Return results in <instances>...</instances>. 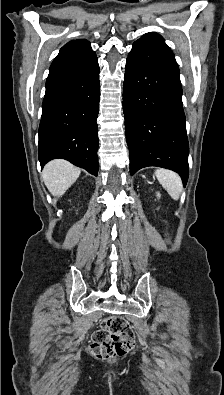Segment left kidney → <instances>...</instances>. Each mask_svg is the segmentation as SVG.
I'll use <instances>...</instances> for the list:
<instances>
[{
  "instance_id": "1",
  "label": "left kidney",
  "mask_w": 224,
  "mask_h": 395,
  "mask_svg": "<svg viewBox=\"0 0 224 395\" xmlns=\"http://www.w3.org/2000/svg\"><path fill=\"white\" fill-rule=\"evenodd\" d=\"M157 196L160 197V193H157Z\"/></svg>"
}]
</instances>
